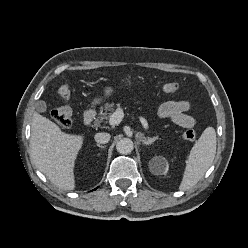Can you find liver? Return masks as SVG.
Masks as SVG:
<instances>
[{"mask_svg":"<svg viewBox=\"0 0 248 248\" xmlns=\"http://www.w3.org/2000/svg\"><path fill=\"white\" fill-rule=\"evenodd\" d=\"M83 141V135L67 134L48 118L33 113L30 154L36 167L55 186L75 188L74 165Z\"/></svg>","mask_w":248,"mask_h":248,"instance_id":"obj_1","label":"liver"}]
</instances>
